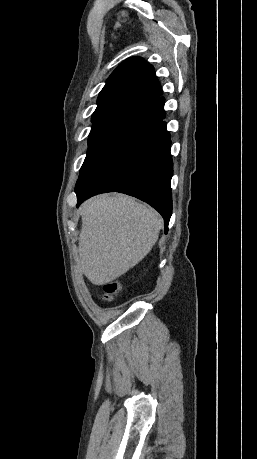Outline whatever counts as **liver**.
I'll use <instances>...</instances> for the list:
<instances>
[{
    "instance_id": "1",
    "label": "liver",
    "mask_w": 257,
    "mask_h": 459,
    "mask_svg": "<svg viewBox=\"0 0 257 459\" xmlns=\"http://www.w3.org/2000/svg\"><path fill=\"white\" fill-rule=\"evenodd\" d=\"M77 264L94 285H103L137 265L158 240L162 218L127 196L94 197L80 208Z\"/></svg>"
}]
</instances>
